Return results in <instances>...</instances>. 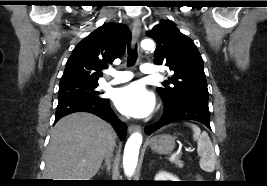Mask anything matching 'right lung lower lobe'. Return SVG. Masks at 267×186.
I'll use <instances>...</instances> for the list:
<instances>
[{
  "mask_svg": "<svg viewBox=\"0 0 267 186\" xmlns=\"http://www.w3.org/2000/svg\"><path fill=\"white\" fill-rule=\"evenodd\" d=\"M74 112H89L102 119L113 120V127L121 140L126 137L127 125L119 121L113 113L109 100L93 99L83 96H71L59 99L55 123L62 117Z\"/></svg>",
  "mask_w": 267,
  "mask_h": 186,
  "instance_id": "right-lung-lower-lobe-1",
  "label": "right lung lower lobe"
}]
</instances>
